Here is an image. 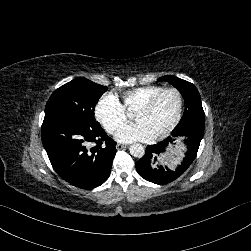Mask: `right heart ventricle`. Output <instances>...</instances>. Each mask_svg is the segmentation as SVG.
Returning <instances> with one entry per match:
<instances>
[{"instance_id": "1", "label": "right heart ventricle", "mask_w": 251, "mask_h": 251, "mask_svg": "<svg viewBox=\"0 0 251 251\" xmlns=\"http://www.w3.org/2000/svg\"><path fill=\"white\" fill-rule=\"evenodd\" d=\"M163 89L161 85H146L131 89L124 93V103L129 109H138L140 105Z\"/></svg>"}]
</instances>
